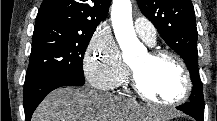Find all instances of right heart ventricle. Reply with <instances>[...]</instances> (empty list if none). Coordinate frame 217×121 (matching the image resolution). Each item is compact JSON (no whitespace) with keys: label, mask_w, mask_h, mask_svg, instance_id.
I'll use <instances>...</instances> for the list:
<instances>
[{"label":"right heart ventricle","mask_w":217,"mask_h":121,"mask_svg":"<svg viewBox=\"0 0 217 121\" xmlns=\"http://www.w3.org/2000/svg\"><path fill=\"white\" fill-rule=\"evenodd\" d=\"M122 82H124L125 84H127L128 83V76Z\"/></svg>","instance_id":"1"}]
</instances>
